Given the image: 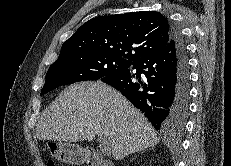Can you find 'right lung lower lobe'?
I'll return each instance as SVG.
<instances>
[{"instance_id": "right-lung-lower-lobe-1", "label": "right lung lower lobe", "mask_w": 231, "mask_h": 166, "mask_svg": "<svg viewBox=\"0 0 231 166\" xmlns=\"http://www.w3.org/2000/svg\"><path fill=\"white\" fill-rule=\"evenodd\" d=\"M171 25L172 37L165 48L100 79L119 90L144 112L156 130L166 135L183 130L189 106L186 45L179 29ZM131 69L137 72L132 73Z\"/></svg>"}]
</instances>
